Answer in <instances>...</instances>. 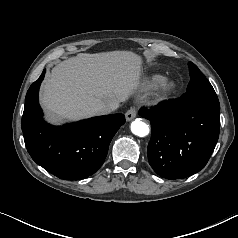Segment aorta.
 <instances>
[{
    "mask_svg": "<svg viewBox=\"0 0 238 238\" xmlns=\"http://www.w3.org/2000/svg\"><path fill=\"white\" fill-rule=\"evenodd\" d=\"M131 132L139 137H145L149 134V125L140 119H136L131 123Z\"/></svg>",
    "mask_w": 238,
    "mask_h": 238,
    "instance_id": "1",
    "label": "aorta"
}]
</instances>
